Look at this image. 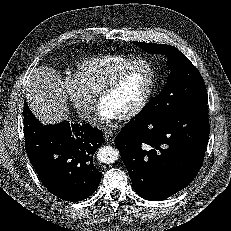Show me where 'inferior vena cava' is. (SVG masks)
I'll return each mask as SVG.
<instances>
[{
	"label": "inferior vena cava",
	"instance_id": "602c4592",
	"mask_svg": "<svg viewBox=\"0 0 231 231\" xmlns=\"http://www.w3.org/2000/svg\"><path fill=\"white\" fill-rule=\"evenodd\" d=\"M79 116L85 120V121H92V118H93V112L90 108L86 107L84 108L83 110L80 111V114Z\"/></svg>",
	"mask_w": 231,
	"mask_h": 231
}]
</instances>
